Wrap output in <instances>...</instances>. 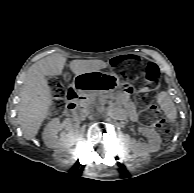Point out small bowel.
Listing matches in <instances>:
<instances>
[{"instance_id": "1", "label": "small bowel", "mask_w": 194, "mask_h": 193, "mask_svg": "<svg viewBox=\"0 0 194 193\" xmlns=\"http://www.w3.org/2000/svg\"><path fill=\"white\" fill-rule=\"evenodd\" d=\"M126 109L128 110L129 114H130V117L131 118H136V113L133 109V105L130 101L126 100L125 103H124Z\"/></svg>"}]
</instances>
